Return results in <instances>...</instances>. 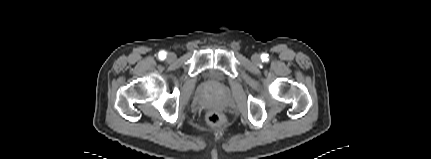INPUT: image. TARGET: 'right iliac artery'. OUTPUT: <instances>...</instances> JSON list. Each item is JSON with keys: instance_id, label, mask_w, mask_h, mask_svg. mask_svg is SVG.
<instances>
[{"instance_id": "right-iliac-artery-1", "label": "right iliac artery", "mask_w": 431, "mask_h": 159, "mask_svg": "<svg viewBox=\"0 0 431 159\" xmlns=\"http://www.w3.org/2000/svg\"><path fill=\"white\" fill-rule=\"evenodd\" d=\"M166 52L165 51H161V52H159V58L160 59H164L165 57H166Z\"/></svg>"}]
</instances>
